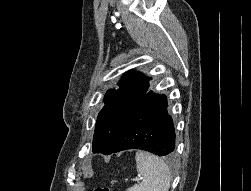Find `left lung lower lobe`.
I'll return each mask as SVG.
<instances>
[{"mask_svg":"<svg viewBox=\"0 0 251 191\" xmlns=\"http://www.w3.org/2000/svg\"><path fill=\"white\" fill-rule=\"evenodd\" d=\"M165 95L146 93L136 104L108 154L141 149L158 156L175 150V131ZM107 154V155H108Z\"/></svg>","mask_w":251,"mask_h":191,"instance_id":"0a47b994","label":"left lung lower lobe"}]
</instances>
